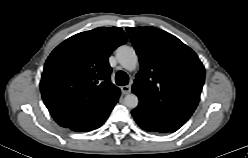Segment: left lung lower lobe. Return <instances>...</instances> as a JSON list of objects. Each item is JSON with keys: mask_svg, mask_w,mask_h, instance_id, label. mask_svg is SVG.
Listing matches in <instances>:
<instances>
[{"mask_svg": "<svg viewBox=\"0 0 248 158\" xmlns=\"http://www.w3.org/2000/svg\"><path fill=\"white\" fill-rule=\"evenodd\" d=\"M132 115L138 125L146 131L161 133L174 132L172 130H169L160 120L154 118L138 107L132 111Z\"/></svg>", "mask_w": 248, "mask_h": 158, "instance_id": "left-lung-lower-lobe-1", "label": "left lung lower lobe"}]
</instances>
